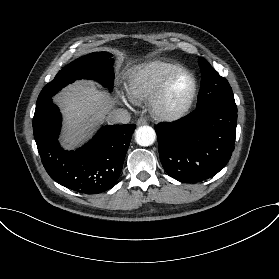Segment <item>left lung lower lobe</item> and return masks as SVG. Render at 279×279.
<instances>
[{
    "label": "left lung lower lobe",
    "instance_id": "obj_1",
    "mask_svg": "<svg viewBox=\"0 0 279 279\" xmlns=\"http://www.w3.org/2000/svg\"><path fill=\"white\" fill-rule=\"evenodd\" d=\"M237 108L211 103L173 123L155 126L163 168L173 178L192 183L211 178L234 150Z\"/></svg>",
    "mask_w": 279,
    "mask_h": 279
}]
</instances>
